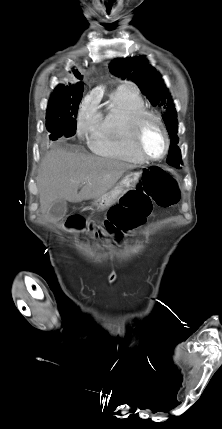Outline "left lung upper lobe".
Here are the masks:
<instances>
[{
    "instance_id": "1",
    "label": "left lung upper lobe",
    "mask_w": 222,
    "mask_h": 429,
    "mask_svg": "<svg viewBox=\"0 0 222 429\" xmlns=\"http://www.w3.org/2000/svg\"><path fill=\"white\" fill-rule=\"evenodd\" d=\"M112 74L135 82L153 106L165 109L163 120L171 138L167 163L176 168L182 164L181 151L177 145V113L171 95L161 75L148 64L145 57L116 58L110 63Z\"/></svg>"
}]
</instances>
